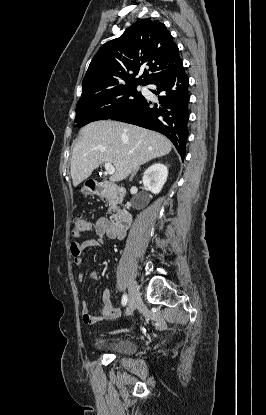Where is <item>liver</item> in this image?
Wrapping results in <instances>:
<instances>
[{
    "instance_id": "obj_1",
    "label": "liver",
    "mask_w": 266,
    "mask_h": 415,
    "mask_svg": "<svg viewBox=\"0 0 266 415\" xmlns=\"http://www.w3.org/2000/svg\"><path fill=\"white\" fill-rule=\"evenodd\" d=\"M163 135L135 125L100 120L79 131L72 153L70 173L76 187L102 163L113 164L111 181H121L137 167L170 153Z\"/></svg>"
}]
</instances>
